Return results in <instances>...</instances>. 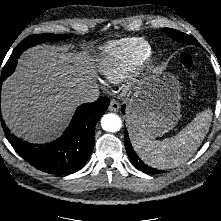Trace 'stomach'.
I'll list each match as a JSON object with an SVG mask.
<instances>
[{
    "mask_svg": "<svg viewBox=\"0 0 221 221\" xmlns=\"http://www.w3.org/2000/svg\"><path fill=\"white\" fill-rule=\"evenodd\" d=\"M180 117V87L174 76L156 68L137 83L126 120L133 137H160L172 130Z\"/></svg>",
    "mask_w": 221,
    "mask_h": 221,
    "instance_id": "obj_1",
    "label": "stomach"
}]
</instances>
